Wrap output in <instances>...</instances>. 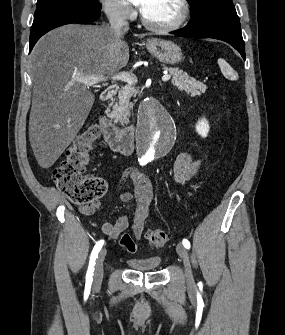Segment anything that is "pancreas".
<instances>
[{"label":"pancreas","instance_id":"obj_1","mask_svg":"<svg viewBox=\"0 0 285 335\" xmlns=\"http://www.w3.org/2000/svg\"><path fill=\"white\" fill-rule=\"evenodd\" d=\"M164 70H168V72L172 74L171 82L173 86H177L181 92L184 90V92H189L191 96H201V94H204L205 90H207V86H205L203 82H197L195 78H190L187 72H183V70H179V68H164ZM136 94L137 90H135L133 86H124V88L120 90L118 106H113L114 112H108V119H116L122 126L128 124L129 120L127 116L130 114L131 108H133L130 98L136 96Z\"/></svg>","mask_w":285,"mask_h":335}]
</instances>
